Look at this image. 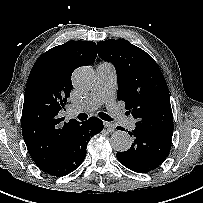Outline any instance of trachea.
<instances>
[{
	"label": "trachea",
	"instance_id": "obj_1",
	"mask_svg": "<svg viewBox=\"0 0 203 203\" xmlns=\"http://www.w3.org/2000/svg\"><path fill=\"white\" fill-rule=\"evenodd\" d=\"M98 115H99V117H100L101 119H103V120H105V121H113V119H112L108 114H106V113H104V112H99ZM87 117H88V116H87V114H85V113H80V114L77 116V118H78L79 120H81V121L86 120Z\"/></svg>",
	"mask_w": 203,
	"mask_h": 203
}]
</instances>
